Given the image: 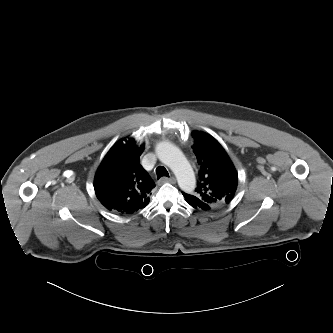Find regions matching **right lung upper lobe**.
<instances>
[{"label": "right lung upper lobe", "mask_w": 333, "mask_h": 333, "mask_svg": "<svg viewBox=\"0 0 333 333\" xmlns=\"http://www.w3.org/2000/svg\"><path fill=\"white\" fill-rule=\"evenodd\" d=\"M124 141L116 142L102 160L95 175L94 189L108 210L129 214L148 205L155 184L140 165L144 145L138 147L132 138Z\"/></svg>", "instance_id": "obj_1"}]
</instances>
